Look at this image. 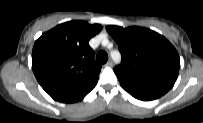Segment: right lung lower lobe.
Wrapping results in <instances>:
<instances>
[{"instance_id": "98d812e1", "label": "right lung lower lobe", "mask_w": 203, "mask_h": 123, "mask_svg": "<svg viewBox=\"0 0 203 123\" xmlns=\"http://www.w3.org/2000/svg\"><path fill=\"white\" fill-rule=\"evenodd\" d=\"M95 85L86 90H83V91L59 94V95H54L51 97L59 102L74 103V102L82 100L95 87Z\"/></svg>"}]
</instances>
